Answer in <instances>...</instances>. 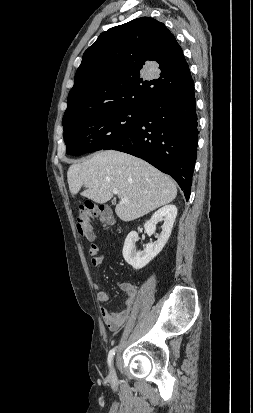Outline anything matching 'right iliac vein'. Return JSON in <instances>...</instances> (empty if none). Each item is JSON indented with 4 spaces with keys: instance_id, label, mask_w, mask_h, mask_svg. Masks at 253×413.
<instances>
[{
    "instance_id": "63e3f726",
    "label": "right iliac vein",
    "mask_w": 253,
    "mask_h": 413,
    "mask_svg": "<svg viewBox=\"0 0 253 413\" xmlns=\"http://www.w3.org/2000/svg\"><path fill=\"white\" fill-rule=\"evenodd\" d=\"M109 377H110V379H111L112 381H115V380H116V373H115L114 367L111 368Z\"/></svg>"
}]
</instances>
